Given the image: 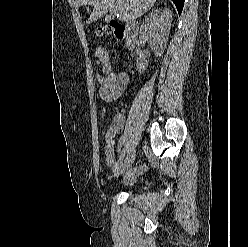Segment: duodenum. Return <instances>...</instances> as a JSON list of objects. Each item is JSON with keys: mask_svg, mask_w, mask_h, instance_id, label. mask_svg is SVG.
<instances>
[{"mask_svg": "<svg viewBox=\"0 0 248 247\" xmlns=\"http://www.w3.org/2000/svg\"><path fill=\"white\" fill-rule=\"evenodd\" d=\"M112 21L116 28L121 32L122 39L125 42L126 47L129 50H134L137 44V36L139 25L137 22L134 21H117V20H110Z\"/></svg>", "mask_w": 248, "mask_h": 247, "instance_id": "410a0bca", "label": "duodenum"}]
</instances>
